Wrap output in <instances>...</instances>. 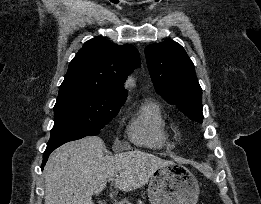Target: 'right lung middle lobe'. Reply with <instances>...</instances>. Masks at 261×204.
I'll use <instances>...</instances> for the list:
<instances>
[{"label": "right lung middle lobe", "mask_w": 261, "mask_h": 204, "mask_svg": "<svg viewBox=\"0 0 261 204\" xmlns=\"http://www.w3.org/2000/svg\"><path fill=\"white\" fill-rule=\"evenodd\" d=\"M124 101H106L91 92L58 95L54 126L47 145L64 144L97 135L118 113Z\"/></svg>", "instance_id": "1"}]
</instances>
